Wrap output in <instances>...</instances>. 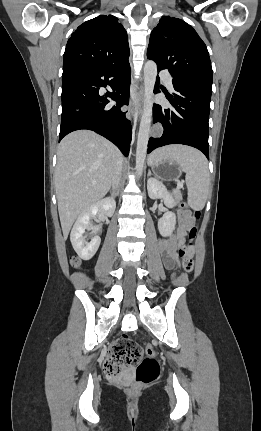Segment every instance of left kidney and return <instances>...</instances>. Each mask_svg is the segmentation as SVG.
<instances>
[{
  "mask_svg": "<svg viewBox=\"0 0 261 431\" xmlns=\"http://www.w3.org/2000/svg\"><path fill=\"white\" fill-rule=\"evenodd\" d=\"M148 195L151 199H163L167 207L174 206L173 197L167 192L166 187L162 182L155 178H150L147 181ZM176 225V216L173 212H166L162 218L158 220V229L163 237L171 235Z\"/></svg>",
  "mask_w": 261,
  "mask_h": 431,
  "instance_id": "obj_1",
  "label": "left kidney"
}]
</instances>
